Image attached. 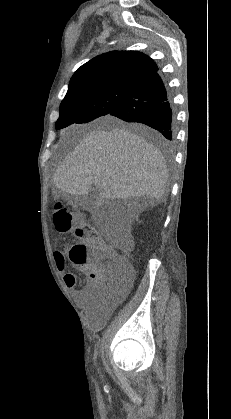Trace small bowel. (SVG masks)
I'll list each match as a JSON object with an SVG mask.
<instances>
[{"mask_svg":"<svg viewBox=\"0 0 231 419\" xmlns=\"http://www.w3.org/2000/svg\"><path fill=\"white\" fill-rule=\"evenodd\" d=\"M56 265L63 272V281L66 287L73 288L77 284V277L75 274L66 271V262L61 259H56ZM82 271L87 272L86 267L81 268ZM91 289L86 287L79 291L80 303L82 305L88 304Z\"/></svg>","mask_w":231,"mask_h":419,"instance_id":"c3829d8e","label":"small bowel"}]
</instances>
